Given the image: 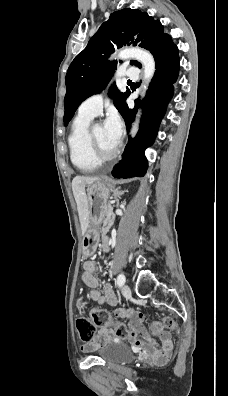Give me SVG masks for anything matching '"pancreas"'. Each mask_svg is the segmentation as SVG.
I'll return each instance as SVG.
<instances>
[{"label": "pancreas", "mask_w": 228, "mask_h": 396, "mask_svg": "<svg viewBox=\"0 0 228 396\" xmlns=\"http://www.w3.org/2000/svg\"><path fill=\"white\" fill-rule=\"evenodd\" d=\"M109 207H110V208L107 209V212H108V213H113V212H114V209L112 208V206H111L110 204H109ZM113 219H114V216H113V215H108V216H107V220H105V222L103 223L102 229H101V231H100V234H101L103 237L107 234L108 230L110 229V226H111V224L113 223ZM102 239H103V238H102Z\"/></svg>", "instance_id": "1"}]
</instances>
